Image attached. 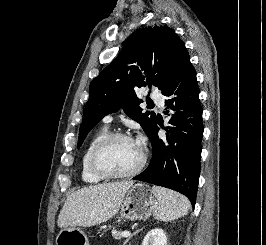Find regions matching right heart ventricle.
I'll use <instances>...</instances> for the list:
<instances>
[{"label":"right heart ventricle","mask_w":266,"mask_h":245,"mask_svg":"<svg viewBox=\"0 0 266 245\" xmlns=\"http://www.w3.org/2000/svg\"><path fill=\"white\" fill-rule=\"evenodd\" d=\"M108 132V125L103 124L91 135V137L87 141L80 162V177L82 181L86 184L95 185L104 181L92 171L90 165V154L95 144Z\"/></svg>","instance_id":"e07e8e85"}]
</instances>
